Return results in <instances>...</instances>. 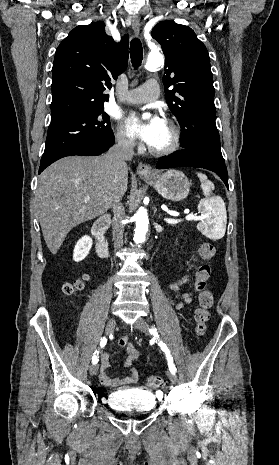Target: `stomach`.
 <instances>
[{
    "label": "stomach",
    "instance_id": "obj_1",
    "mask_svg": "<svg viewBox=\"0 0 279 465\" xmlns=\"http://www.w3.org/2000/svg\"><path fill=\"white\" fill-rule=\"evenodd\" d=\"M165 199L180 201L185 199L190 190V183L183 172L168 170L161 175L143 177Z\"/></svg>",
    "mask_w": 279,
    "mask_h": 465
}]
</instances>
